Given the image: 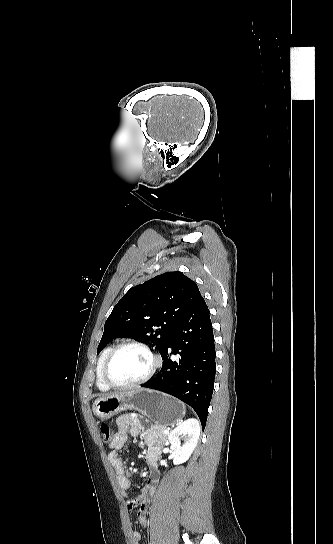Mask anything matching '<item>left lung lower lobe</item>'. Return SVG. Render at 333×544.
Segmentation results:
<instances>
[{"instance_id": "left-lung-lower-lobe-1", "label": "left lung lower lobe", "mask_w": 333, "mask_h": 544, "mask_svg": "<svg viewBox=\"0 0 333 544\" xmlns=\"http://www.w3.org/2000/svg\"><path fill=\"white\" fill-rule=\"evenodd\" d=\"M179 355L176 360L171 355ZM163 366L158 375L142 387L175 396L207 421L216 372L215 345L208 307L201 296L177 324L161 353Z\"/></svg>"}]
</instances>
